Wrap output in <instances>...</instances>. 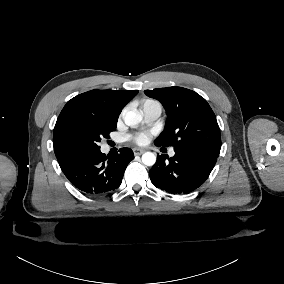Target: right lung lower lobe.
<instances>
[{
	"label": "right lung lower lobe",
	"instance_id": "1",
	"mask_svg": "<svg viewBox=\"0 0 284 284\" xmlns=\"http://www.w3.org/2000/svg\"><path fill=\"white\" fill-rule=\"evenodd\" d=\"M119 152L111 157L100 149L78 153L59 164L69 181L83 193L108 194L120 186L128 163L134 159L129 148H121Z\"/></svg>",
	"mask_w": 284,
	"mask_h": 284
}]
</instances>
